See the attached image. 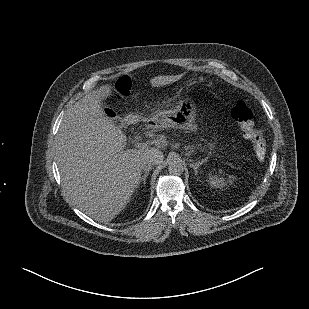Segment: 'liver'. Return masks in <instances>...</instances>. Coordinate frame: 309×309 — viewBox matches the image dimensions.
I'll list each match as a JSON object with an SVG mask.
<instances>
[{
    "mask_svg": "<svg viewBox=\"0 0 309 309\" xmlns=\"http://www.w3.org/2000/svg\"><path fill=\"white\" fill-rule=\"evenodd\" d=\"M111 93V86L103 85L67 109L56 145L67 195L82 212L100 222L111 221L125 208L140 183L144 162L160 164L164 159L163 143L124 150L125 134L102 110L101 102ZM157 115L143 120L154 121ZM124 121L136 124L140 117L129 114Z\"/></svg>",
    "mask_w": 309,
    "mask_h": 309,
    "instance_id": "1",
    "label": "liver"
}]
</instances>
